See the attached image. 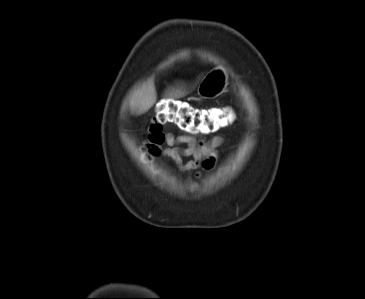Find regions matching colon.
Listing matches in <instances>:
<instances>
[{
  "label": "colon",
  "instance_id": "colon-1",
  "mask_svg": "<svg viewBox=\"0 0 365 299\" xmlns=\"http://www.w3.org/2000/svg\"><path fill=\"white\" fill-rule=\"evenodd\" d=\"M228 114L223 108H195L188 103L167 99L159 103L148 128L146 149L157 155L165 142L163 126L177 127L198 133H212L228 123Z\"/></svg>",
  "mask_w": 365,
  "mask_h": 299
}]
</instances>
